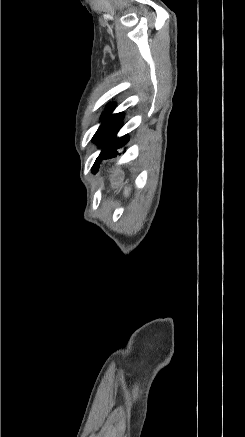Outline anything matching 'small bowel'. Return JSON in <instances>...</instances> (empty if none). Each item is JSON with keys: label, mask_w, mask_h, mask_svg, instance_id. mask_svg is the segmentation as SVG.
Returning a JSON list of instances; mask_svg holds the SVG:
<instances>
[{"label": "small bowel", "mask_w": 245, "mask_h": 437, "mask_svg": "<svg viewBox=\"0 0 245 437\" xmlns=\"http://www.w3.org/2000/svg\"><path fill=\"white\" fill-rule=\"evenodd\" d=\"M96 176H97L98 178H100L102 175H101L100 173H98Z\"/></svg>", "instance_id": "c3829d8e"}]
</instances>
